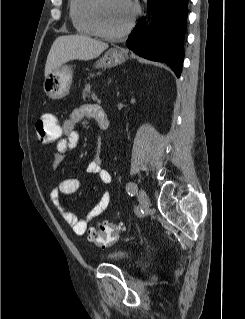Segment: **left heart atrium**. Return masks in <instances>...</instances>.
<instances>
[{"instance_id":"obj_1","label":"left heart atrium","mask_w":245,"mask_h":319,"mask_svg":"<svg viewBox=\"0 0 245 319\" xmlns=\"http://www.w3.org/2000/svg\"><path fill=\"white\" fill-rule=\"evenodd\" d=\"M125 1H126L127 3H129V4H131V3H130V0H125Z\"/></svg>"}]
</instances>
